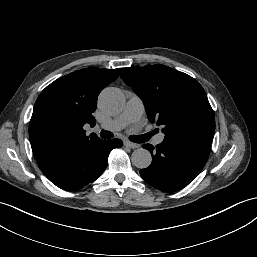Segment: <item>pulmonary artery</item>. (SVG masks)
Instances as JSON below:
<instances>
[{
    "mask_svg": "<svg viewBox=\"0 0 257 257\" xmlns=\"http://www.w3.org/2000/svg\"><path fill=\"white\" fill-rule=\"evenodd\" d=\"M144 113V104L142 100L132 95L128 99L123 112L116 118L107 123L102 124V128L112 131H118L125 128L127 125L138 123ZM164 133L155 136L154 144L159 145L164 140Z\"/></svg>",
    "mask_w": 257,
    "mask_h": 257,
    "instance_id": "pulmonary-artery-1",
    "label": "pulmonary artery"
}]
</instances>
